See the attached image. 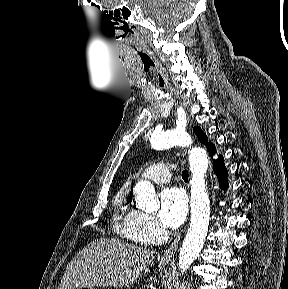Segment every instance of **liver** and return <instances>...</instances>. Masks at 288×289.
<instances>
[{
    "label": "liver",
    "instance_id": "6515ba94",
    "mask_svg": "<svg viewBox=\"0 0 288 289\" xmlns=\"http://www.w3.org/2000/svg\"><path fill=\"white\" fill-rule=\"evenodd\" d=\"M154 259V250L99 238L70 261L58 289L127 287L140 278Z\"/></svg>",
    "mask_w": 288,
    "mask_h": 289
}]
</instances>
